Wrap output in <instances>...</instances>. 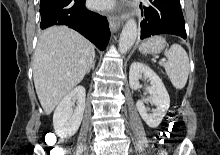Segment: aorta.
<instances>
[{
  "label": "aorta",
  "instance_id": "1",
  "mask_svg": "<svg viewBox=\"0 0 220 155\" xmlns=\"http://www.w3.org/2000/svg\"><path fill=\"white\" fill-rule=\"evenodd\" d=\"M137 37V23L134 19H129L124 25L120 39H119V51L120 53H127Z\"/></svg>",
  "mask_w": 220,
  "mask_h": 155
}]
</instances>
